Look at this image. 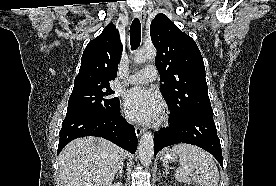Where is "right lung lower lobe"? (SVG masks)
Segmentation results:
<instances>
[{"instance_id":"right-lung-lower-lobe-1","label":"right lung lower lobe","mask_w":276,"mask_h":186,"mask_svg":"<svg viewBox=\"0 0 276 186\" xmlns=\"http://www.w3.org/2000/svg\"><path fill=\"white\" fill-rule=\"evenodd\" d=\"M59 136L57 154L70 141L84 136L105 138L132 154L138 143L134 127L120 116V104L109 114L80 113L66 116Z\"/></svg>"}]
</instances>
